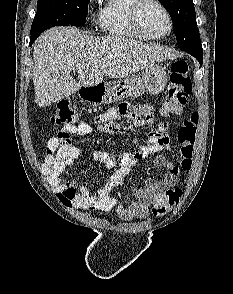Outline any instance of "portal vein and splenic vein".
<instances>
[{
    "label": "portal vein and splenic vein",
    "instance_id": "obj_1",
    "mask_svg": "<svg viewBox=\"0 0 233 294\" xmlns=\"http://www.w3.org/2000/svg\"><path fill=\"white\" fill-rule=\"evenodd\" d=\"M78 70H81V67L80 66L78 67Z\"/></svg>",
    "mask_w": 233,
    "mask_h": 294
}]
</instances>
